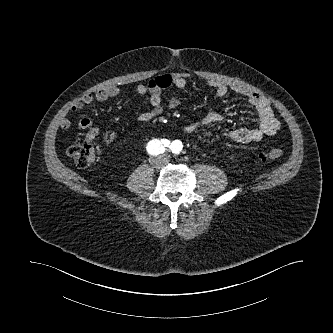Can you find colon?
Listing matches in <instances>:
<instances>
[{
  "label": "colon",
  "instance_id": "colon-1",
  "mask_svg": "<svg viewBox=\"0 0 333 333\" xmlns=\"http://www.w3.org/2000/svg\"><path fill=\"white\" fill-rule=\"evenodd\" d=\"M99 136L98 132L92 136H86L83 142H77L71 145L68 149L69 156L73 159L78 167H87L93 164L98 159V151L94 145V140ZM104 142H110L113 139L111 133L101 135ZM284 151L280 148H273L259 154L262 161H270L279 159L283 156Z\"/></svg>",
  "mask_w": 333,
  "mask_h": 333
}]
</instances>
